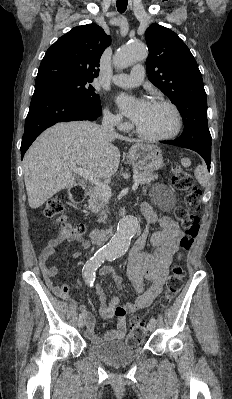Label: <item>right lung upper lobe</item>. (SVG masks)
I'll use <instances>...</instances> for the list:
<instances>
[{
    "instance_id": "right-lung-upper-lobe-1",
    "label": "right lung upper lobe",
    "mask_w": 232,
    "mask_h": 399,
    "mask_svg": "<svg viewBox=\"0 0 232 399\" xmlns=\"http://www.w3.org/2000/svg\"><path fill=\"white\" fill-rule=\"evenodd\" d=\"M111 39L95 23L74 27L46 52L36 83L66 77L93 81L99 74V61Z\"/></svg>"
}]
</instances>
